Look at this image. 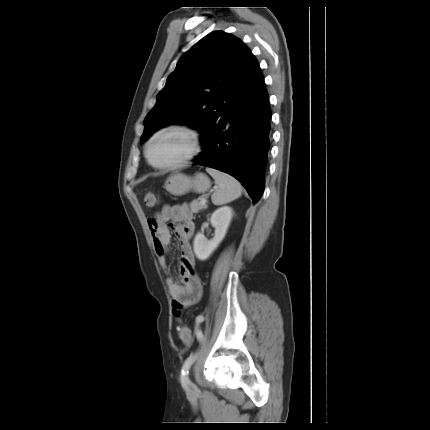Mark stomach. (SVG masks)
Returning a JSON list of instances; mask_svg holds the SVG:
<instances>
[{
  "label": "stomach",
  "instance_id": "1",
  "mask_svg": "<svg viewBox=\"0 0 430 430\" xmlns=\"http://www.w3.org/2000/svg\"><path fill=\"white\" fill-rule=\"evenodd\" d=\"M164 186L170 194L182 196L190 191L205 193L210 188V180L203 173H196L192 177L178 173L170 176Z\"/></svg>",
  "mask_w": 430,
  "mask_h": 430
}]
</instances>
